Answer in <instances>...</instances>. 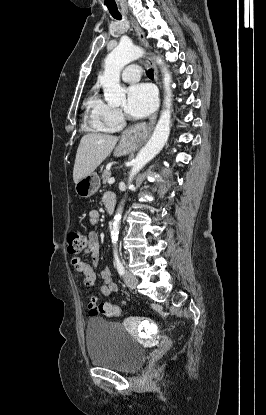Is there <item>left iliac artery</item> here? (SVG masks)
<instances>
[{"instance_id": "obj_1", "label": "left iliac artery", "mask_w": 266, "mask_h": 415, "mask_svg": "<svg viewBox=\"0 0 266 415\" xmlns=\"http://www.w3.org/2000/svg\"><path fill=\"white\" fill-rule=\"evenodd\" d=\"M114 257H115V264H116V268H117L118 273L120 275H124L125 274V269H124V266H123V264H122V262H121V260L118 256L117 252L114 253Z\"/></svg>"}]
</instances>
